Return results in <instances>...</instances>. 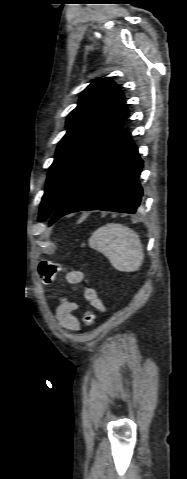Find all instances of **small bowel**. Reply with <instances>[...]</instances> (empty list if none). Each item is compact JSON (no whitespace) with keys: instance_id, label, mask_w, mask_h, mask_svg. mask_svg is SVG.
<instances>
[{"instance_id":"c3829d8e","label":"small bowel","mask_w":187,"mask_h":479,"mask_svg":"<svg viewBox=\"0 0 187 479\" xmlns=\"http://www.w3.org/2000/svg\"><path fill=\"white\" fill-rule=\"evenodd\" d=\"M67 282L74 290H80L84 297L98 310L104 311L105 306L97 291L89 287H81L84 275L80 271H71L66 276ZM58 306L55 309V318L59 325L69 331H77L80 327L79 321L74 315L78 304L66 297H58Z\"/></svg>"}]
</instances>
